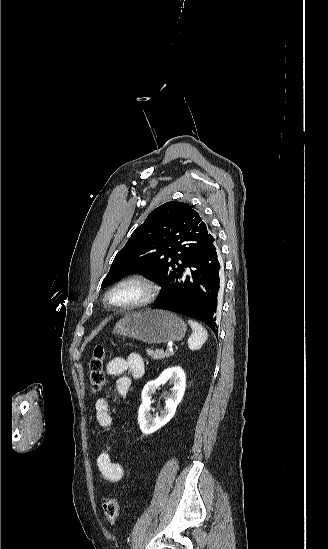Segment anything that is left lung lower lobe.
<instances>
[{
  "instance_id": "0a47b994",
  "label": "left lung lower lobe",
  "mask_w": 328,
  "mask_h": 549,
  "mask_svg": "<svg viewBox=\"0 0 328 549\" xmlns=\"http://www.w3.org/2000/svg\"><path fill=\"white\" fill-rule=\"evenodd\" d=\"M220 254L213 242L188 264L185 272L167 296L158 299L153 309H163L196 318L218 336L219 297L223 290Z\"/></svg>"
}]
</instances>
